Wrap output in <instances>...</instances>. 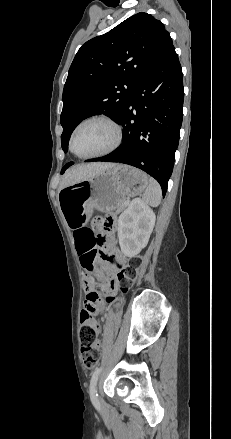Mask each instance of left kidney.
<instances>
[{
    "label": "left kidney",
    "instance_id": "5707ae66",
    "mask_svg": "<svg viewBox=\"0 0 231 439\" xmlns=\"http://www.w3.org/2000/svg\"><path fill=\"white\" fill-rule=\"evenodd\" d=\"M155 225V213L141 199L132 200L118 219V238L122 253L134 257L146 247Z\"/></svg>",
    "mask_w": 231,
    "mask_h": 439
}]
</instances>
